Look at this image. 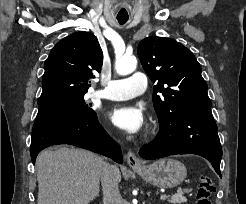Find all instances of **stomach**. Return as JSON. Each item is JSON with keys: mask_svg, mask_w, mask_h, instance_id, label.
<instances>
[{"mask_svg": "<svg viewBox=\"0 0 246 204\" xmlns=\"http://www.w3.org/2000/svg\"><path fill=\"white\" fill-rule=\"evenodd\" d=\"M134 171L147 183L161 188L176 187L187 176L185 165L172 158L159 159Z\"/></svg>", "mask_w": 246, "mask_h": 204, "instance_id": "stomach-1", "label": "stomach"}]
</instances>
